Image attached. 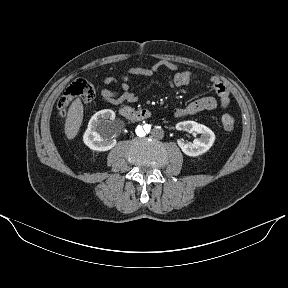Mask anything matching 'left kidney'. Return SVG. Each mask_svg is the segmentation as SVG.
<instances>
[{
    "label": "left kidney",
    "mask_w": 288,
    "mask_h": 288,
    "mask_svg": "<svg viewBox=\"0 0 288 288\" xmlns=\"http://www.w3.org/2000/svg\"><path fill=\"white\" fill-rule=\"evenodd\" d=\"M176 129L200 134V138L194 139L193 143L178 140V145L182 152L188 156L196 157L202 155L211 148L215 141V134L210 128L194 121L179 122L176 124Z\"/></svg>",
    "instance_id": "obj_1"
}]
</instances>
